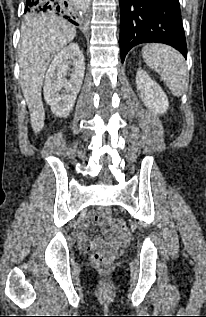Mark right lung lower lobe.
<instances>
[{"instance_id":"98d812e1","label":"right lung lower lobe","mask_w":206,"mask_h":317,"mask_svg":"<svg viewBox=\"0 0 206 317\" xmlns=\"http://www.w3.org/2000/svg\"><path fill=\"white\" fill-rule=\"evenodd\" d=\"M70 0H26L25 6V13H38V12H45V11H54L57 13H62L63 17L68 19L75 25H79L75 22L74 19H71L69 15H67L68 2Z\"/></svg>"}]
</instances>
